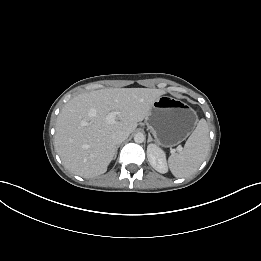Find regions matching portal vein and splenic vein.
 <instances>
[{"label": "portal vein and splenic vein", "instance_id": "18ae733b", "mask_svg": "<svg viewBox=\"0 0 261 261\" xmlns=\"http://www.w3.org/2000/svg\"><path fill=\"white\" fill-rule=\"evenodd\" d=\"M118 112H110L107 116H106V122L109 124H112L115 122L116 116H117ZM178 150H181V147H178ZM174 152V150H173Z\"/></svg>", "mask_w": 261, "mask_h": 261}]
</instances>
